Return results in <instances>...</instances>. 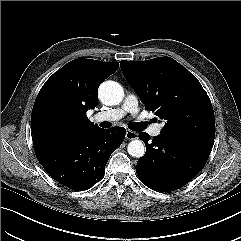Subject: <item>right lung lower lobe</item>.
Masks as SVG:
<instances>
[{"label": "right lung lower lobe", "instance_id": "1", "mask_svg": "<svg viewBox=\"0 0 241 241\" xmlns=\"http://www.w3.org/2000/svg\"><path fill=\"white\" fill-rule=\"evenodd\" d=\"M125 135L123 127L99 128L35 153L53 179L73 190H86L103 178L105 165Z\"/></svg>", "mask_w": 241, "mask_h": 241}]
</instances>
